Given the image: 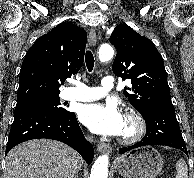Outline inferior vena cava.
<instances>
[{
	"mask_svg": "<svg viewBox=\"0 0 194 178\" xmlns=\"http://www.w3.org/2000/svg\"><path fill=\"white\" fill-rule=\"evenodd\" d=\"M87 139H88L89 141H94L93 137H90V136H88Z\"/></svg>",
	"mask_w": 194,
	"mask_h": 178,
	"instance_id": "inferior-vena-cava-1",
	"label": "inferior vena cava"
}]
</instances>
